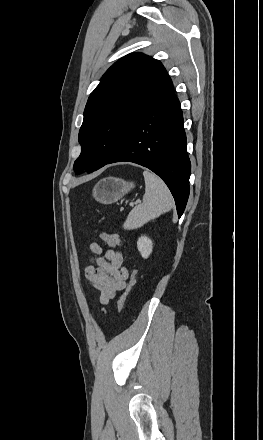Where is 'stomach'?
Instances as JSON below:
<instances>
[{
  "label": "stomach",
  "mask_w": 263,
  "mask_h": 440,
  "mask_svg": "<svg viewBox=\"0 0 263 440\" xmlns=\"http://www.w3.org/2000/svg\"><path fill=\"white\" fill-rule=\"evenodd\" d=\"M134 183L116 177H107L100 180L93 188V197L103 204L118 201L122 196L134 188Z\"/></svg>",
  "instance_id": "stomach-1"
}]
</instances>
